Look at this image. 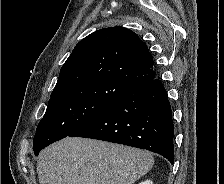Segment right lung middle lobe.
I'll return each mask as SVG.
<instances>
[{"mask_svg":"<svg viewBox=\"0 0 224 184\" xmlns=\"http://www.w3.org/2000/svg\"><path fill=\"white\" fill-rule=\"evenodd\" d=\"M129 88L124 84L94 80L51 96L33 139L34 154L38 155L41 149L92 121Z\"/></svg>","mask_w":224,"mask_h":184,"instance_id":"right-lung-middle-lobe-1","label":"right lung middle lobe"}]
</instances>
